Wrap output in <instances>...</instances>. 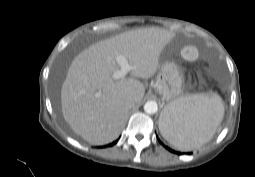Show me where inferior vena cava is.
<instances>
[{
  "label": "inferior vena cava",
  "instance_id": "obj_1",
  "mask_svg": "<svg viewBox=\"0 0 255 177\" xmlns=\"http://www.w3.org/2000/svg\"><path fill=\"white\" fill-rule=\"evenodd\" d=\"M126 106H127V108H129V109H131L132 107H134V106H135L134 100H133L132 98L127 99V101H126Z\"/></svg>",
  "mask_w": 255,
  "mask_h": 177
}]
</instances>
